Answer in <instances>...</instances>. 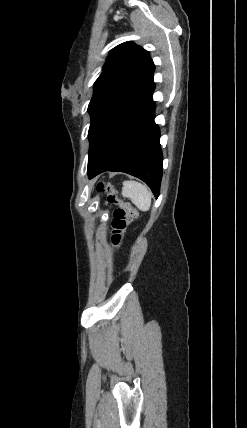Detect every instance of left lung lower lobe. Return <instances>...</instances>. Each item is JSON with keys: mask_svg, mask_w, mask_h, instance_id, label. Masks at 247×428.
I'll return each mask as SVG.
<instances>
[{"mask_svg": "<svg viewBox=\"0 0 247 428\" xmlns=\"http://www.w3.org/2000/svg\"><path fill=\"white\" fill-rule=\"evenodd\" d=\"M154 89L153 83L104 124L89 151V178L104 171L125 172L143 180L158 198L163 157L154 122Z\"/></svg>", "mask_w": 247, "mask_h": 428, "instance_id": "obj_1", "label": "left lung lower lobe"}]
</instances>
